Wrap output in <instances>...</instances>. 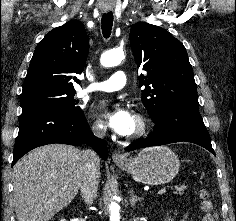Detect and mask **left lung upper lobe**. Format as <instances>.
Instances as JSON below:
<instances>
[{
    "label": "left lung upper lobe",
    "instance_id": "5c2ea615",
    "mask_svg": "<svg viewBox=\"0 0 236 221\" xmlns=\"http://www.w3.org/2000/svg\"><path fill=\"white\" fill-rule=\"evenodd\" d=\"M130 46L138 68L142 102L154 122L171 106L199 108L192 66L184 45L165 29L136 23L130 30Z\"/></svg>",
    "mask_w": 236,
    "mask_h": 221
}]
</instances>
